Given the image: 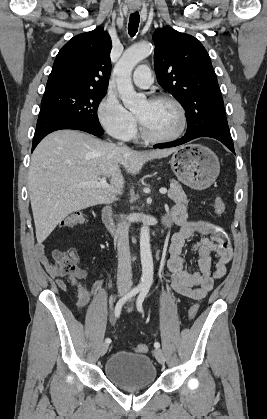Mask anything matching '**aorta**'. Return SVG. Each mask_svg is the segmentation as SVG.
I'll use <instances>...</instances> for the list:
<instances>
[{"instance_id":"762f6f07","label":"aorta","mask_w":267,"mask_h":419,"mask_svg":"<svg viewBox=\"0 0 267 419\" xmlns=\"http://www.w3.org/2000/svg\"><path fill=\"white\" fill-rule=\"evenodd\" d=\"M151 52L152 46L147 43L132 46L125 50L114 68L119 96L129 110L138 108L146 100L144 94L134 90L131 74L134 67ZM140 256L142 264L140 285L150 288L153 282V258L150 247V229L147 223L143 224L140 231Z\"/></svg>"}]
</instances>
